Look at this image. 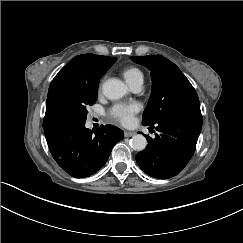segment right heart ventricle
<instances>
[{
    "mask_svg": "<svg viewBox=\"0 0 243 243\" xmlns=\"http://www.w3.org/2000/svg\"><path fill=\"white\" fill-rule=\"evenodd\" d=\"M121 74L130 87L142 85L144 81V72L137 66H129Z\"/></svg>",
    "mask_w": 243,
    "mask_h": 243,
    "instance_id": "e07e8e85",
    "label": "right heart ventricle"
}]
</instances>
